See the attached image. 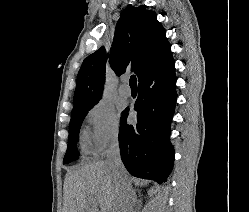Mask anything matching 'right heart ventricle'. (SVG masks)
Returning a JSON list of instances; mask_svg holds the SVG:
<instances>
[{
	"label": "right heart ventricle",
	"instance_id": "obj_1",
	"mask_svg": "<svg viewBox=\"0 0 249 212\" xmlns=\"http://www.w3.org/2000/svg\"><path fill=\"white\" fill-rule=\"evenodd\" d=\"M81 147H82V149H83L84 152H88L89 151V147L85 143L84 139H82V141H81Z\"/></svg>",
	"mask_w": 249,
	"mask_h": 212
}]
</instances>
